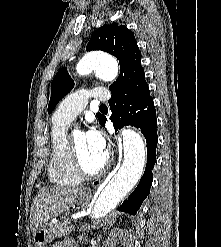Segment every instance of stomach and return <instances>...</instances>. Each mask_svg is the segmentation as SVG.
Masks as SVG:
<instances>
[{
  "label": "stomach",
  "mask_w": 221,
  "mask_h": 247,
  "mask_svg": "<svg viewBox=\"0 0 221 247\" xmlns=\"http://www.w3.org/2000/svg\"><path fill=\"white\" fill-rule=\"evenodd\" d=\"M88 195L80 193L78 199L80 202L88 200ZM54 232L50 223H45L33 231V242L35 247H49L54 239Z\"/></svg>",
  "instance_id": "0dacf381"
}]
</instances>
